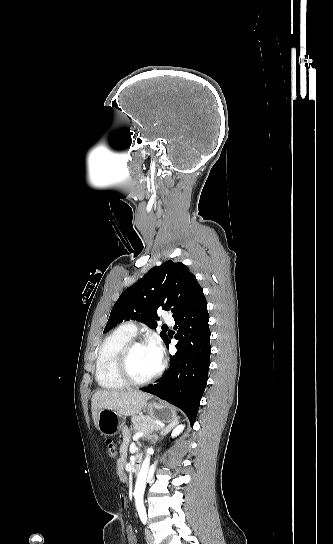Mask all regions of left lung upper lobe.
Returning a JSON list of instances; mask_svg holds the SVG:
<instances>
[{
  "mask_svg": "<svg viewBox=\"0 0 333 544\" xmlns=\"http://www.w3.org/2000/svg\"><path fill=\"white\" fill-rule=\"evenodd\" d=\"M203 293L196 277L180 262L168 260L153 267L141 280L126 289L114 304L104 332L118 323L136 320L157 327L159 308L171 310L173 317ZM165 342L167 334L160 333Z\"/></svg>",
  "mask_w": 333,
  "mask_h": 544,
  "instance_id": "left-lung-upper-lobe-1",
  "label": "left lung upper lobe"
}]
</instances>
